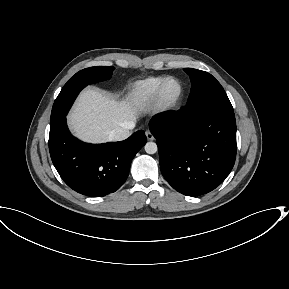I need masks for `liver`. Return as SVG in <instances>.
<instances>
[{"instance_id":"liver-1","label":"liver","mask_w":289,"mask_h":289,"mask_svg":"<svg viewBox=\"0 0 289 289\" xmlns=\"http://www.w3.org/2000/svg\"><path fill=\"white\" fill-rule=\"evenodd\" d=\"M139 106L131 101H116L98 89H85L78 97L68 123L75 136L85 142L109 141V133L128 122H135Z\"/></svg>"}]
</instances>
